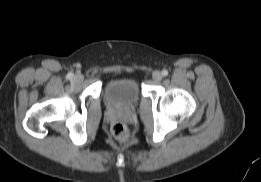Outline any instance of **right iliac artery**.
<instances>
[{"instance_id": "obj_1", "label": "right iliac artery", "mask_w": 261, "mask_h": 182, "mask_svg": "<svg viewBox=\"0 0 261 182\" xmlns=\"http://www.w3.org/2000/svg\"><path fill=\"white\" fill-rule=\"evenodd\" d=\"M73 76H74L73 73H68V74H67V78H68V79H71Z\"/></svg>"}]
</instances>
